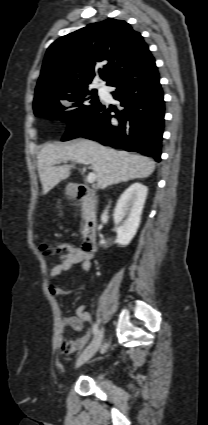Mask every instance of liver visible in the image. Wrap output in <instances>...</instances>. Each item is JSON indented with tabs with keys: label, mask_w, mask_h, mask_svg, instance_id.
<instances>
[{
	"label": "liver",
	"mask_w": 208,
	"mask_h": 425,
	"mask_svg": "<svg viewBox=\"0 0 208 425\" xmlns=\"http://www.w3.org/2000/svg\"><path fill=\"white\" fill-rule=\"evenodd\" d=\"M68 160H84L91 164L101 189L136 178H146L155 170V162L148 157L117 151L91 140L80 139L61 145L50 143L42 147L38 154V173L43 194L70 176L74 166H56Z\"/></svg>",
	"instance_id": "liver-1"
}]
</instances>
